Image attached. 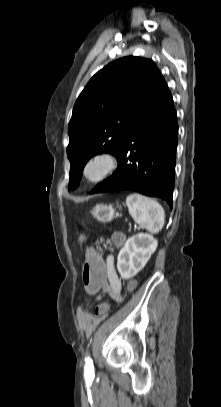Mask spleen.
Instances as JSON below:
<instances>
[{"instance_id": "obj_1", "label": "spleen", "mask_w": 221, "mask_h": 407, "mask_svg": "<svg viewBox=\"0 0 221 407\" xmlns=\"http://www.w3.org/2000/svg\"><path fill=\"white\" fill-rule=\"evenodd\" d=\"M126 205L134 221L151 233H158L165 219L162 206L154 199L133 193L127 196Z\"/></svg>"}]
</instances>
